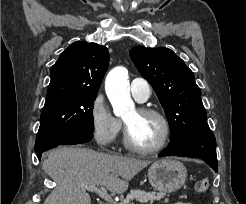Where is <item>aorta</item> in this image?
Instances as JSON below:
<instances>
[{
    "label": "aorta",
    "mask_w": 246,
    "mask_h": 204,
    "mask_svg": "<svg viewBox=\"0 0 246 204\" xmlns=\"http://www.w3.org/2000/svg\"><path fill=\"white\" fill-rule=\"evenodd\" d=\"M105 90L116 116L125 118L135 114L126 68L116 67L109 72L105 81Z\"/></svg>",
    "instance_id": "762f6f07"
}]
</instances>
